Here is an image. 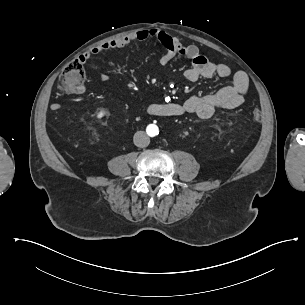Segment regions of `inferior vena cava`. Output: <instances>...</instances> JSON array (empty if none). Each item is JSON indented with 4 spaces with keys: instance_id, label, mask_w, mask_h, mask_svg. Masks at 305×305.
<instances>
[{
    "instance_id": "inferior-vena-cava-1",
    "label": "inferior vena cava",
    "mask_w": 305,
    "mask_h": 305,
    "mask_svg": "<svg viewBox=\"0 0 305 305\" xmlns=\"http://www.w3.org/2000/svg\"><path fill=\"white\" fill-rule=\"evenodd\" d=\"M133 142L137 147H147L150 143L148 135L144 131H137L134 134Z\"/></svg>"
}]
</instances>
